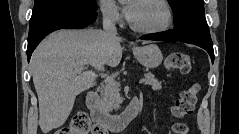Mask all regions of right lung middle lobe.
Returning a JSON list of instances; mask_svg holds the SVG:
<instances>
[{
	"mask_svg": "<svg viewBox=\"0 0 239 134\" xmlns=\"http://www.w3.org/2000/svg\"><path fill=\"white\" fill-rule=\"evenodd\" d=\"M60 6H76L86 10H97L96 0H35L31 19H35L44 12Z\"/></svg>",
	"mask_w": 239,
	"mask_h": 134,
	"instance_id": "dd1d6c3e",
	"label": "right lung middle lobe"
}]
</instances>
